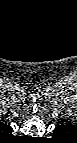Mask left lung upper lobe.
Segmentation results:
<instances>
[{"instance_id":"1","label":"left lung upper lobe","mask_w":77,"mask_h":143,"mask_svg":"<svg viewBox=\"0 0 77 143\" xmlns=\"http://www.w3.org/2000/svg\"><path fill=\"white\" fill-rule=\"evenodd\" d=\"M68 127L69 126H67V125H62V126H59L58 128H56L54 131H57L61 135L62 133H64L67 130Z\"/></svg>"}]
</instances>
